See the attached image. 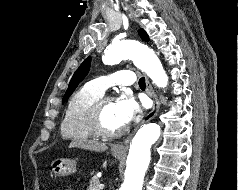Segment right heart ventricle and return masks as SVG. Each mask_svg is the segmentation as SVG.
Here are the masks:
<instances>
[{
  "label": "right heart ventricle",
  "instance_id": "right-heart-ventricle-1",
  "mask_svg": "<svg viewBox=\"0 0 238 190\" xmlns=\"http://www.w3.org/2000/svg\"><path fill=\"white\" fill-rule=\"evenodd\" d=\"M102 95L87 85L73 94L61 122L63 137L74 140H90L97 137L88 126L87 113Z\"/></svg>",
  "mask_w": 238,
  "mask_h": 190
}]
</instances>
